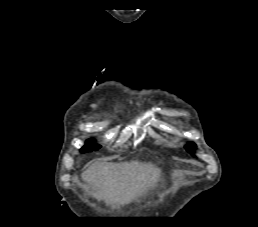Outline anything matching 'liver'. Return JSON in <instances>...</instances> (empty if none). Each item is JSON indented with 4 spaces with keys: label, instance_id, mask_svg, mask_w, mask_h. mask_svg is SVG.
Instances as JSON below:
<instances>
[{
    "label": "liver",
    "instance_id": "liver-1",
    "mask_svg": "<svg viewBox=\"0 0 258 227\" xmlns=\"http://www.w3.org/2000/svg\"><path fill=\"white\" fill-rule=\"evenodd\" d=\"M82 179L93 188V196L112 206L132 202L160 180V169L151 163L138 161L108 163L97 161Z\"/></svg>",
    "mask_w": 258,
    "mask_h": 227
}]
</instances>
